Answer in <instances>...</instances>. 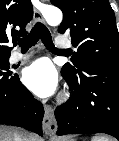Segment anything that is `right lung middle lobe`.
Instances as JSON below:
<instances>
[{"instance_id":"obj_1","label":"right lung middle lobe","mask_w":119,"mask_h":141,"mask_svg":"<svg viewBox=\"0 0 119 141\" xmlns=\"http://www.w3.org/2000/svg\"><path fill=\"white\" fill-rule=\"evenodd\" d=\"M0 71L10 74L9 71V57H0Z\"/></svg>"}]
</instances>
